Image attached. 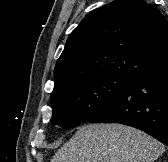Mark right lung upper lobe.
Listing matches in <instances>:
<instances>
[{
    "label": "right lung upper lobe",
    "mask_w": 168,
    "mask_h": 162,
    "mask_svg": "<svg viewBox=\"0 0 168 162\" xmlns=\"http://www.w3.org/2000/svg\"><path fill=\"white\" fill-rule=\"evenodd\" d=\"M166 63L163 14L144 0H115L88 13L69 35L55 65L53 92L104 75L135 78Z\"/></svg>",
    "instance_id": "1"
}]
</instances>
